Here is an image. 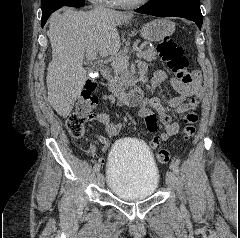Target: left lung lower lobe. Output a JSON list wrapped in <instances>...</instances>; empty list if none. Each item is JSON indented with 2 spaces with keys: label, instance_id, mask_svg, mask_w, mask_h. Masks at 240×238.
Returning <instances> with one entry per match:
<instances>
[{
  "label": "left lung lower lobe",
  "instance_id": "left-lung-lower-lobe-1",
  "mask_svg": "<svg viewBox=\"0 0 240 238\" xmlns=\"http://www.w3.org/2000/svg\"><path fill=\"white\" fill-rule=\"evenodd\" d=\"M135 11L157 17H183L194 21L199 28L202 26L200 0H154Z\"/></svg>",
  "mask_w": 240,
  "mask_h": 238
}]
</instances>
